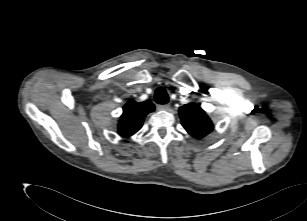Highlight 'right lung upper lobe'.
I'll list each match as a JSON object with an SVG mask.
<instances>
[{
	"mask_svg": "<svg viewBox=\"0 0 307 221\" xmlns=\"http://www.w3.org/2000/svg\"><path fill=\"white\" fill-rule=\"evenodd\" d=\"M154 110V105L149 101L141 103L128 101L118 124L119 135L129 137L135 134L142 127L145 116Z\"/></svg>",
	"mask_w": 307,
	"mask_h": 221,
	"instance_id": "right-lung-upper-lobe-1",
	"label": "right lung upper lobe"
}]
</instances>
